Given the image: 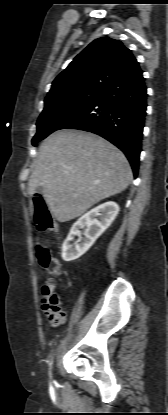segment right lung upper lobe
<instances>
[{
  "label": "right lung upper lobe",
  "mask_w": 168,
  "mask_h": 415,
  "mask_svg": "<svg viewBox=\"0 0 168 415\" xmlns=\"http://www.w3.org/2000/svg\"><path fill=\"white\" fill-rule=\"evenodd\" d=\"M138 65L119 40L101 37L78 54L52 83L45 101L79 90H104Z\"/></svg>",
  "instance_id": "1"
}]
</instances>
